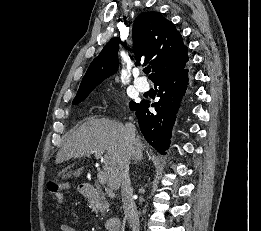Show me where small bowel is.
<instances>
[{
    "instance_id": "obj_1",
    "label": "small bowel",
    "mask_w": 261,
    "mask_h": 231,
    "mask_svg": "<svg viewBox=\"0 0 261 231\" xmlns=\"http://www.w3.org/2000/svg\"><path fill=\"white\" fill-rule=\"evenodd\" d=\"M61 231H75L74 227L71 225L63 224L60 227Z\"/></svg>"
}]
</instances>
